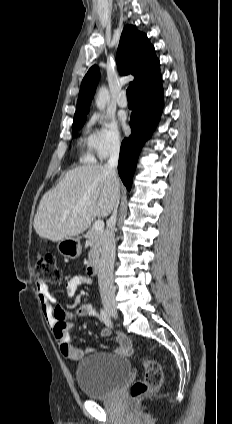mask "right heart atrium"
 Here are the masks:
<instances>
[{"instance_id": "1", "label": "right heart atrium", "mask_w": 232, "mask_h": 424, "mask_svg": "<svg viewBox=\"0 0 232 424\" xmlns=\"http://www.w3.org/2000/svg\"><path fill=\"white\" fill-rule=\"evenodd\" d=\"M92 122L96 125L92 133V151L101 159L118 152L122 138L116 123L100 115L94 116Z\"/></svg>"}]
</instances>
